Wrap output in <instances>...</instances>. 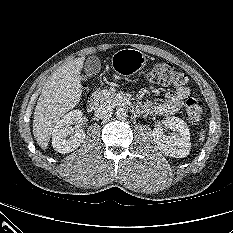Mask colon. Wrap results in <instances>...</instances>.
Segmentation results:
<instances>
[{
    "instance_id": "colon-1",
    "label": "colon",
    "mask_w": 233,
    "mask_h": 233,
    "mask_svg": "<svg viewBox=\"0 0 233 233\" xmlns=\"http://www.w3.org/2000/svg\"><path fill=\"white\" fill-rule=\"evenodd\" d=\"M148 80L164 86H184L188 79L187 76L176 70L170 63L155 64L148 73ZM203 110L198 101L189 98L185 103L184 115L188 122L196 124L200 121Z\"/></svg>"
}]
</instances>
